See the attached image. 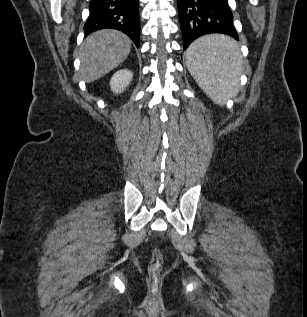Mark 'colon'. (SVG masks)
<instances>
[{"label":"colon","instance_id":"1","mask_svg":"<svg viewBox=\"0 0 307 317\" xmlns=\"http://www.w3.org/2000/svg\"><path fill=\"white\" fill-rule=\"evenodd\" d=\"M162 264V256L157 250H155L149 264V275L153 283H157V281L159 280Z\"/></svg>","mask_w":307,"mask_h":317}]
</instances>
